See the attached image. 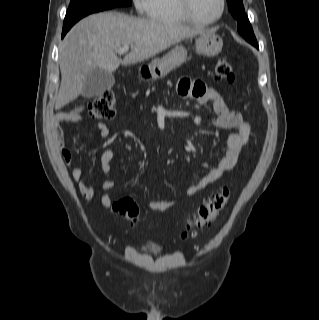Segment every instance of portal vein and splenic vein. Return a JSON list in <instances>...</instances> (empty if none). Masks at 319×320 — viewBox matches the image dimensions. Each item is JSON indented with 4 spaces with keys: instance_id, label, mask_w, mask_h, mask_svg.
Wrapping results in <instances>:
<instances>
[{
    "instance_id": "obj_1",
    "label": "portal vein and splenic vein",
    "mask_w": 319,
    "mask_h": 320,
    "mask_svg": "<svg viewBox=\"0 0 319 320\" xmlns=\"http://www.w3.org/2000/svg\"><path fill=\"white\" fill-rule=\"evenodd\" d=\"M129 50V46H123L118 50L119 54H124Z\"/></svg>"
}]
</instances>
